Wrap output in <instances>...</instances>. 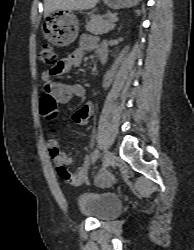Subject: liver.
<instances>
[{"label":"liver","instance_id":"obj_1","mask_svg":"<svg viewBox=\"0 0 194 250\" xmlns=\"http://www.w3.org/2000/svg\"><path fill=\"white\" fill-rule=\"evenodd\" d=\"M99 0H45L44 17L55 10H88L96 6Z\"/></svg>","mask_w":194,"mask_h":250}]
</instances>
